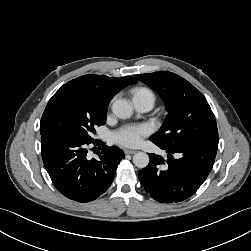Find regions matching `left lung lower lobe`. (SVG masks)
<instances>
[{"label":"left lung lower lobe","mask_w":251,"mask_h":251,"mask_svg":"<svg viewBox=\"0 0 251 251\" xmlns=\"http://www.w3.org/2000/svg\"><path fill=\"white\" fill-rule=\"evenodd\" d=\"M153 143L168 152V159L149 154V165L138 173L146 192L164 203L180 202L192 196L212 169L218 141L196 140L172 147ZM174 153L179 158H174Z\"/></svg>","instance_id":"0a47b994"}]
</instances>
